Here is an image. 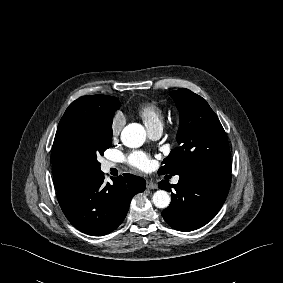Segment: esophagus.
<instances>
[{"label":"esophagus","instance_id":"obj_1","mask_svg":"<svg viewBox=\"0 0 283 283\" xmlns=\"http://www.w3.org/2000/svg\"><path fill=\"white\" fill-rule=\"evenodd\" d=\"M146 188L147 189H157V184L152 180H148L146 182Z\"/></svg>","mask_w":283,"mask_h":283}]
</instances>
